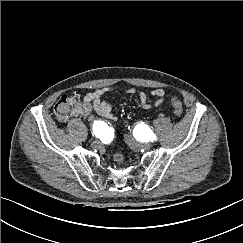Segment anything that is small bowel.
<instances>
[{
  "label": "small bowel",
  "mask_w": 243,
  "mask_h": 243,
  "mask_svg": "<svg viewBox=\"0 0 243 243\" xmlns=\"http://www.w3.org/2000/svg\"><path fill=\"white\" fill-rule=\"evenodd\" d=\"M115 87H102L94 92L88 93L84 96L83 100L79 104V107L73 113L74 116L83 115L85 118L89 117L92 113H96L99 116L108 119L115 120L116 115L112 111L111 103L103 99V96L109 92L115 90ZM126 94L137 95L140 101V105L144 109H150L153 106H159L165 97V92L163 89H153L150 91V95L156 99L154 104H151L148 101L146 93L138 91L134 88H127L124 90ZM105 135L107 138H110L113 134L111 127L105 125Z\"/></svg>",
  "instance_id": "1"
}]
</instances>
